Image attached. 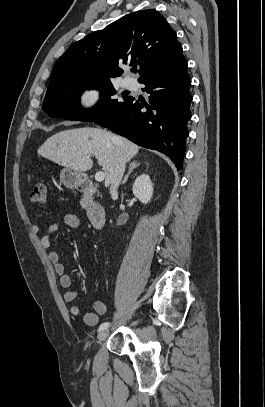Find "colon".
I'll list each match as a JSON object with an SVG mask.
<instances>
[{
    "label": "colon",
    "instance_id": "obj_1",
    "mask_svg": "<svg viewBox=\"0 0 265 407\" xmlns=\"http://www.w3.org/2000/svg\"><path fill=\"white\" fill-rule=\"evenodd\" d=\"M30 198L36 204H46L48 202L46 184L43 182L36 183L31 191Z\"/></svg>",
    "mask_w": 265,
    "mask_h": 407
}]
</instances>
